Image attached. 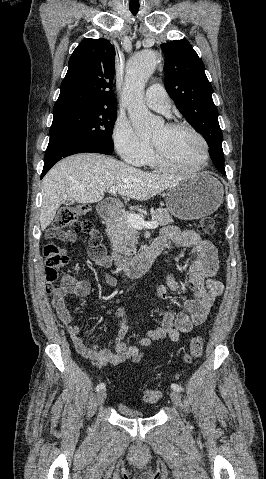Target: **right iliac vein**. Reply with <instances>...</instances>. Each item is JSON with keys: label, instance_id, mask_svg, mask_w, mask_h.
I'll use <instances>...</instances> for the list:
<instances>
[{"label": "right iliac vein", "instance_id": "63e3f726", "mask_svg": "<svg viewBox=\"0 0 266 479\" xmlns=\"http://www.w3.org/2000/svg\"><path fill=\"white\" fill-rule=\"evenodd\" d=\"M106 399V391L100 390L97 394V403L102 404Z\"/></svg>", "mask_w": 266, "mask_h": 479}]
</instances>
